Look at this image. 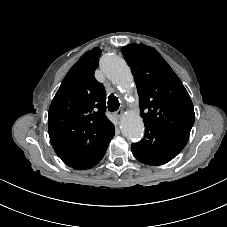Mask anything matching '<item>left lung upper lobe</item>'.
Instances as JSON below:
<instances>
[{
    "instance_id": "1",
    "label": "left lung upper lobe",
    "mask_w": 227,
    "mask_h": 227,
    "mask_svg": "<svg viewBox=\"0 0 227 227\" xmlns=\"http://www.w3.org/2000/svg\"><path fill=\"white\" fill-rule=\"evenodd\" d=\"M131 67L145 126H153L188 141L195 113L181 80L158 51L144 44L122 48Z\"/></svg>"
}]
</instances>
